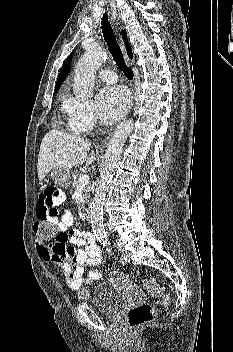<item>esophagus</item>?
Wrapping results in <instances>:
<instances>
[{
  "instance_id": "34e87169",
  "label": "esophagus",
  "mask_w": 233,
  "mask_h": 352,
  "mask_svg": "<svg viewBox=\"0 0 233 352\" xmlns=\"http://www.w3.org/2000/svg\"><path fill=\"white\" fill-rule=\"evenodd\" d=\"M121 28H122V26H120L119 29H121ZM117 40H118L119 46H120L121 49H122V52H123V55H124V58H125L127 64L130 65V66H132L133 63H132V61L128 58V56H127V53H126V50H125L123 41H122V39H121V37H120L119 34H118ZM108 139H109V138H106V140H104L103 145H105V144L107 143Z\"/></svg>"
}]
</instances>
